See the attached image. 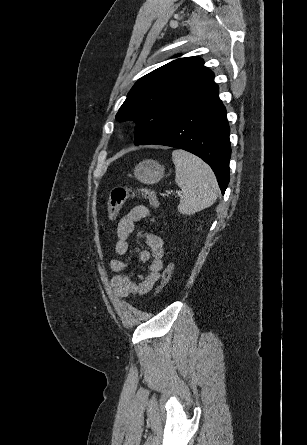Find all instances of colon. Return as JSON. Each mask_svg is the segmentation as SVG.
Listing matches in <instances>:
<instances>
[{
    "label": "colon",
    "instance_id": "5ec220e1",
    "mask_svg": "<svg viewBox=\"0 0 307 445\" xmlns=\"http://www.w3.org/2000/svg\"><path fill=\"white\" fill-rule=\"evenodd\" d=\"M136 197L146 199L151 209H156L158 207V197L152 190L115 187L111 190L109 196L107 207L108 220L113 221L117 217L121 207L127 199ZM173 268L174 264L169 262L163 271L161 282L156 289V294L160 293L169 283Z\"/></svg>",
    "mask_w": 307,
    "mask_h": 445
}]
</instances>
